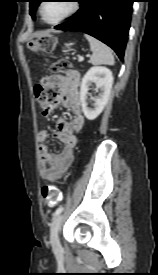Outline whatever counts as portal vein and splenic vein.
Returning a JSON list of instances; mask_svg holds the SVG:
<instances>
[{
  "label": "portal vein and splenic vein",
  "mask_w": 158,
  "mask_h": 275,
  "mask_svg": "<svg viewBox=\"0 0 158 275\" xmlns=\"http://www.w3.org/2000/svg\"><path fill=\"white\" fill-rule=\"evenodd\" d=\"M79 60H80V61H83V60H84V57H83V56H79Z\"/></svg>",
  "instance_id": "portal-vein-and-splenic-vein-1"
}]
</instances>
